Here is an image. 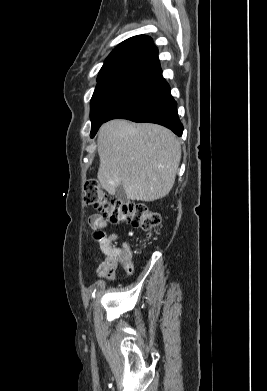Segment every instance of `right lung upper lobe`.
Returning a JSON list of instances; mask_svg holds the SVG:
<instances>
[{
  "mask_svg": "<svg viewBox=\"0 0 267 391\" xmlns=\"http://www.w3.org/2000/svg\"><path fill=\"white\" fill-rule=\"evenodd\" d=\"M161 72L158 50L152 39L138 35L123 41L110 53L99 72L98 79L118 74L154 78Z\"/></svg>",
  "mask_w": 267,
  "mask_h": 391,
  "instance_id": "right-lung-upper-lobe-1",
  "label": "right lung upper lobe"
}]
</instances>
